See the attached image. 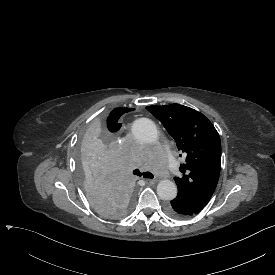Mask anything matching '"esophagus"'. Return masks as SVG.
Returning <instances> with one entry per match:
<instances>
[{"instance_id": "esophagus-1", "label": "esophagus", "mask_w": 275, "mask_h": 275, "mask_svg": "<svg viewBox=\"0 0 275 275\" xmlns=\"http://www.w3.org/2000/svg\"><path fill=\"white\" fill-rule=\"evenodd\" d=\"M145 182L147 183V184H155L156 182H157V180H155V179H145Z\"/></svg>"}]
</instances>
